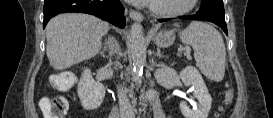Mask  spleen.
<instances>
[{
    "instance_id": "1",
    "label": "spleen",
    "mask_w": 273,
    "mask_h": 118,
    "mask_svg": "<svg viewBox=\"0 0 273 118\" xmlns=\"http://www.w3.org/2000/svg\"><path fill=\"white\" fill-rule=\"evenodd\" d=\"M179 27V24H174ZM180 40L192 46L194 58L202 74L210 80L220 82L224 78L226 49L221 34L211 25L193 21L179 32Z\"/></svg>"
}]
</instances>
